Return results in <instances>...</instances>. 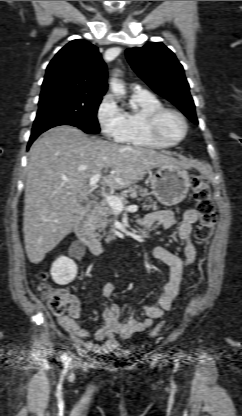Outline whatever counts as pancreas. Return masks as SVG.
<instances>
[{
    "label": "pancreas",
    "mask_w": 242,
    "mask_h": 416,
    "mask_svg": "<svg viewBox=\"0 0 242 416\" xmlns=\"http://www.w3.org/2000/svg\"><path fill=\"white\" fill-rule=\"evenodd\" d=\"M149 195L150 194L147 189L135 186L129 188L128 190L122 191L120 194H117L116 197L120 198L122 201L129 197L135 198L138 201H141L142 198H145V203L143 204L142 208L144 210H156L158 208L157 202L153 201ZM113 215L114 210L111 208L108 202L106 200L102 201L91 216L93 229L97 231L95 234L97 237L101 238L99 232L103 231L105 233V229L108 227V225H110L111 229L109 231L108 238H113L112 233L115 231L113 226Z\"/></svg>",
    "instance_id": "cf45deb5"
}]
</instances>
